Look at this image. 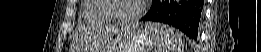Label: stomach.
I'll return each mask as SVG.
<instances>
[{"mask_svg": "<svg viewBox=\"0 0 261 52\" xmlns=\"http://www.w3.org/2000/svg\"><path fill=\"white\" fill-rule=\"evenodd\" d=\"M113 29L120 31L116 39V52H151L154 38L147 29L129 30L126 27Z\"/></svg>", "mask_w": 261, "mask_h": 52, "instance_id": "0dacf381", "label": "stomach"}]
</instances>
